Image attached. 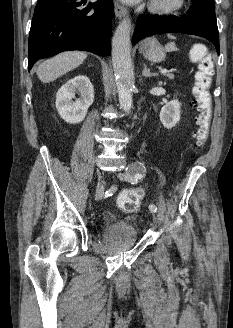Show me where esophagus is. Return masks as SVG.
Masks as SVG:
<instances>
[{"mask_svg":"<svg viewBox=\"0 0 233 328\" xmlns=\"http://www.w3.org/2000/svg\"><path fill=\"white\" fill-rule=\"evenodd\" d=\"M114 11L116 17H118L119 19L127 15V9L124 6L120 5L117 1H114Z\"/></svg>","mask_w":233,"mask_h":328,"instance_id":"esophagus-1","label":"esophagus"}]
</instances>
